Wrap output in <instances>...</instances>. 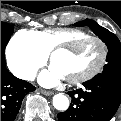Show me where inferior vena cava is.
I'll return each instance as SVG.
<instances>
[{
    "instance_id": "obj_1",
    "label": "inferior vena cava",
    "mask_w": 121,
    "mask_h": 121,
    "mask_svg": "<svg viewBox=\"0 0 121 121\" xmlns=\"http://www.w3.org/2000/svg\"><path fill=\"white\" fill-rule=\"evenodd\" d=\"M21 77L24 78V79H27V80H34L35 74L29 73V74H26V75H22Z\"/></svg>"
}]
</instances>
